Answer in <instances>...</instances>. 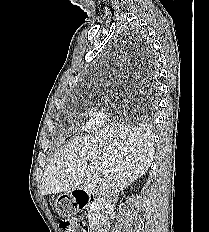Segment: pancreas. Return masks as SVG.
I'll list each match as a JSON object with an SVG mask.
<instances>
[{
  "label": "pancreas",
  "instance_id": "obj_1",
  "mask_svg": "<svg viewBox=\"0 0 209 232\" xmlns=\"http://www.w3.org/2000/svg\"><path fill=\"white\" fill-rule=\"evenodd\" d=\"M87 217L90 222L94 221L97 218V210L94 207H91Z\"/></svg>",
  "mask_w": 209,
  "mask_h": 232
}]
</instances>
